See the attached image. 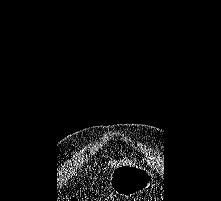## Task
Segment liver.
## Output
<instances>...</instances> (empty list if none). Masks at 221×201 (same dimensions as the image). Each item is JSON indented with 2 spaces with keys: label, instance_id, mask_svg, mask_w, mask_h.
Returning <instances> with one entry per match:
<instances>
[{
  "label": "liver",
  "instance_id": "liver-1",
  "mask_svg": "<svg viewBox=\"0 0 221 201\" xmlns=\"http://www.w3.org/2000/svg\"><path fill=\"white\" fill-rule=\"evenodd\" d=\"M123 164H129L130 162L128 160H125L124 162H122ZM114 167L119 166L118 163H111Z\"/></svg>",
  "mask_w": 221,
  "mask_h": 201
}]
</instances>
